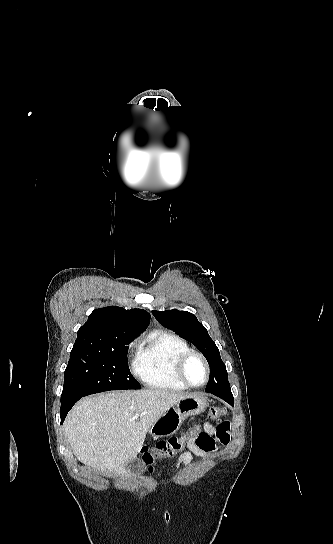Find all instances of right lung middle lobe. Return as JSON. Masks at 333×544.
<instances>
[{"instance_id": "right-lung-middle-lobe-1", "label": "right lung middle lobe", "mask_w": 333, "mask_h": 544, "mask_svg": "<svg viewBox=\"0 0 333 544\" xmlns=\"http://www.w3.org/2000/svg\"><path fill=\"white\" fill-rule=\"evenodd\" d=\"M134 338L113 340L104 350L73 349L64 374L61 398H81L109 390L140 389L127 361Z\"/></svg>"}]
</instances>
